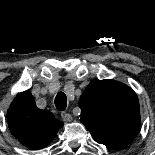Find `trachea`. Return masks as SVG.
I'll use <instances>...</instances> for the list:
<instances>
[{"label":"trachea","instance_id":"obj_1","mask_svg":"<svg viewBox=\"0 0 155 155\" xmlns=\"http://www.w3.org/2000/svg\"><path fill=\"white\" fill-rule=\"evenodd\" d=\"M56 108L60 111H63L67 107V98L63 92H59L55 97Z\"/></svg>","mask_w":155,"mask_h":155}]
</instances>
